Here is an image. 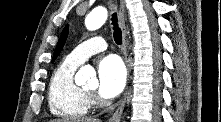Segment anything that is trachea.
<instances>
[{"instance_id":"trachea-1","label":"trachea","mask_w":221,"mask_h":122,"mask_svg":"<svg viewBox=\"0 0 221 122\" xmlns=\"http://www.w3.org/2000/svg\"><path fill=\"white\" fill-rule=\"evenodd\" d=\"M111 20H112L113 30H114L113 31L114 40H115L116 44L121 45L122 44V31L118 27L116 13L112 14Z\"/></svg>"}]
</instances>
